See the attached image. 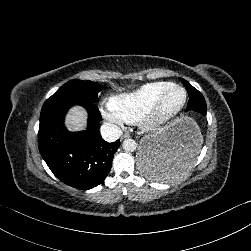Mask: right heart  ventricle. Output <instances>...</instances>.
<instances>
[{
    "mask_svg": "<svg viewBox=\"0 0 251 251\" xmlns=\"http://www.w3.org/2000/svg\"><path fill=\"white\" fill-rule=\"evenodd\" d=\"M169 83L153 82L145 84L132 93L118 97L116 103L125 116L131 120H136L146 115L159 94Z\"/></svg>",
    "mask_w": 251,
    "mask_h": 251,
    "instance_id": "e07e8e85",
    "label": "right heart ventricle"
}]
</instances>
